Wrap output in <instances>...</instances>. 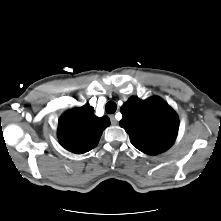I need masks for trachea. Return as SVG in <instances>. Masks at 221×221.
I'll return each mask as SVG.
<instances>
[{"instance_id":"trachea-1","label":"trachea","mask_w":221,"mask_h":221,"mask_svg":"<svg viewBox=\"0 0 221 221\" xmlns=\"http://www.w3.org/2000/svg\"><path fill=\"white\" fill-rule=\"evenodd\" d=\"M117 110V105L114 101H109L106 105H105V111L108 114H113L115 113Z\"/></svg>"}]
</instances>
